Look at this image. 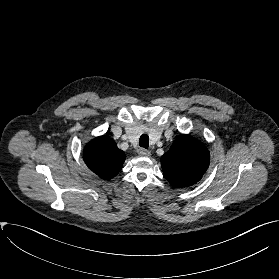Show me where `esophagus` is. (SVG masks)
Masks as SVG:
<instances>
[{
	"label": "esophagus",
	"instance_id": "obj_1",
	"mask_svg": "<svg viewBox=\"0 0 279 279\" xmlns=\"http://www.w3.org/2000/svg\"><path fill=\"white\" fill-rule=\"evenodd\" d=\"M137 153L140 155V156H150V151L144 149V148H139Z\"/></svg>",
	"mask_w": 279,
	"mask_h": 279
}]
</instances>
